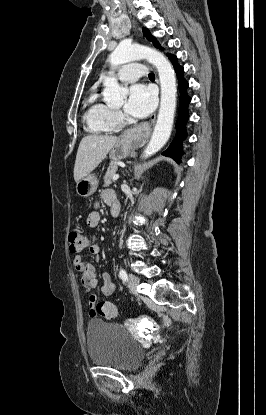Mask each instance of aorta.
Segmentation results:
<instances>
[{"label":"aorta","mask_w":266,"mask_h":415,"mask_svg":"<svg viewBox=\"0 0 266 415\" xmlns=\"http://www.w3.org/2000/svg\"><path fill=\"white\" fill-rule=\"evenodd\" d=\"M146 59L153 64L159 75L161 86V101L157 122L146 147L143 157L147 158L158 152L168 141L174 122L176 109V76L168 59L160 52L143 45H134L122 42L110 54L111 68L130 61ZM111 75L104 80V100L112 106L123 104L127 95V89L118 84L116 78Z\"/></svg>","instance_id":"1"}]
</instances>
